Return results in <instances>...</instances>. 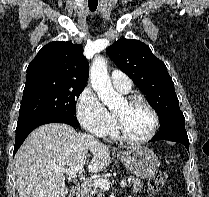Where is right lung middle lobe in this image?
I'll use <instances>...</instances> for the list:
<instances>
[{
    "label": "right lung middle lobe",
    "mask_w": 209,
    "mask_h": 197,
    "mask_svg": "<svg viewBox=\"0 0 209 197\" xmlns=\"http://www.w3.org/2000/svg\"><path fill=\"white\" fill-rule=\"evenodd\" d=\"M85 84L36 80L25 84L18 123L46 115L76 119V99Z\"/></svg>",
    "instance_id": "right-lung-middle-lobe-1"
}]
</instances>
